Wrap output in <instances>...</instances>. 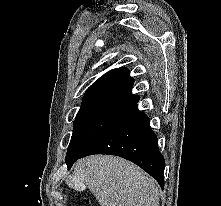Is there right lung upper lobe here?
I'll use <instances>...</instances> for the list:
<instances>
[{
  "instance_id": "1",
  "label": "right lung upper lobe",
  "mask_w": 221,
  "mask_h": 206,
  "mask_svg": "<svg viewBox=\"0 0 221 206\" xmlns=\"http://www.w3.org/2000/svg\"><path fill=\"white\" fill-rule=\"evenodd\" d=\"M133 83L127 68L110 70L86 90L81 108L111 106L128 109L139 101V96L131 93Z\"/></svg>"
}]
</instances>
